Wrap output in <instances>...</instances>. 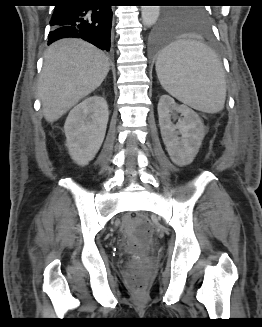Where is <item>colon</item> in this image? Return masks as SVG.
<instances>
[{"label": "colon", "instance_id": "1", "mask_svg": "<svg viewBox=\"0 0 262 327\" xmlns=\"http://www.w3.org/2000/svg\"><path fill=\"white\" fill-rule=\"evenodd\" d=\"M124 229L131 242L136 246L148 244L152 237L151 224L144 216H131L125 223ZM131 284L136 292L143 290V283L137 277L131 278Z\"/></svg>", "mask_w": 262, "mask_h": 327}]
</instances>
